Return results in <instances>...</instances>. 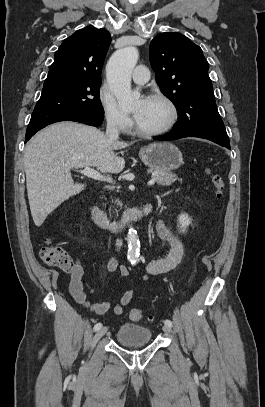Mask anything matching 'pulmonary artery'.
<instances>
[{"mask_svg": "<svg viewBox=\"0 0 265 407\" xmlns=\"http://www.w3.org/2000/svg\"><path fill=\"white\" fill-rule=\"evenodd\" d=\"M150 72L144 65H138L135 67L132 73V79L136 84H144L149 80Z\"/></svg>", "mask_w": 265, "mask_h": 407, "instance_id": "obj_1", "label": "pulmonary artery"}]
</instances>
